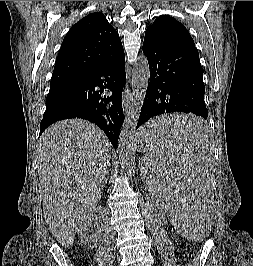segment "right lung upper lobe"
Returning a JSON list of instances; mask_svg holds the SVG:
<instances>
[{
  "label": "right lung upper lobe",
  "mask_w": 253,
  "mask_h": 266,
  "mask_svg": "<svg viewBox=\"0 0 253 266\" xmlns=\"http://www.w3.org/2000/svg\"><path fill=\"white\" fill-rule=\"evenodd\" d=\"M124 56L116 30L100 13H91L71 27L65 36L50 86L71 83Z\"/></svg>",
  "instance_id": "1"
}]
</instances>
